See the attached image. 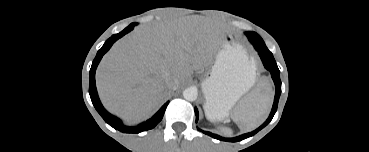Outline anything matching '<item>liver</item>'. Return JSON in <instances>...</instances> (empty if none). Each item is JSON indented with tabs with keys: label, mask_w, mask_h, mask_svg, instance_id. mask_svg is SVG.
I'll list each match as a JSON object with an SVG mask.
<instances>
[{
	"label": "liver",
	"mask_w": 369,
	"mask_h": 152,
	"mask_svg": "<svg viewBox=\"0 0 369 152\" xmlns=\"http://www.w3.org/2000/svg\"><path fill=\"white\" fill-rule=\"evenodd\" d=\"M223 29L208 19H177L136 28L114 44L96 72L99 97L111 113L135 123L149 117L170 90L206 65ZM172 79L176 88L170 89Z\"/></svg>",
	"instance_id": "1"
}]
</instances>
